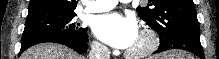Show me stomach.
Listing matches in <instances>:
<instances>
[{
    "label": "stomach",
    "mask_w": 219,
    "mask_h": 59,
    "mask_svg": "<svg viewBox=\"0 0 219 59\" xmlns=\"http://www.w3.org/2000/svg\"><path fill=\"white\" fill-rule=\"evenodd\" d=\"M176 52H169L168 54H164L162 57L165 59H172L171 57L175 55Z\"/></svg>",
    "instance_id": "stomach-1"
}]
</instances>
